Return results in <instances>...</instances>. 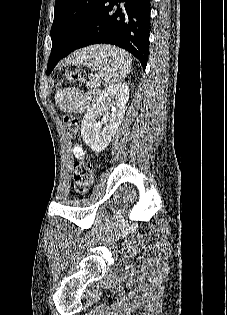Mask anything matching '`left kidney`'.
Instances as JSON below:
<instances>
[{
  "instance_id": "5707ae66",
  "label": "left kidney",
  "mask_w": 227,
  "mask_h": 315,
  "mask_svg": "<svg viewBox=\"0 0 227 315\" xmlns=\"http://www.w3.org/2000/svg\"><path fill=\"white\" fill-rule=\"evenodd\" d=\"M128 99L129 86L126 83L112 85L100 94L87 111L81 124V136L92 151L102 152L111 142L125 114ZM99 116L103 118L101 122H96ZM103 125L105 127L102 129Z\"/></svg>"
}]
</instances>
